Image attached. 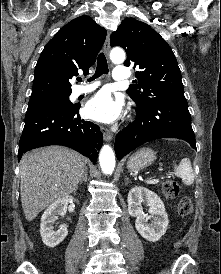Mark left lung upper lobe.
<instances>
[{"instance_id": "1", "label": "left lung upper lobe", "mask_w": 221, "mask_h": 274, "mask_svg": "<svg viewBox=\"0 0 221 274\" xmlns=\"http://www.w3.org/2000/svg\"><path fill=\"white\" fill-rule=\"evenodd\" d=\"M112 47L127 52L125 66H133L136 85L127 94L137 106L173 103L184 97L181 72L174 53L166 41L148 24L125 18L111 34Z\"/></svg>"}]
</instances>
